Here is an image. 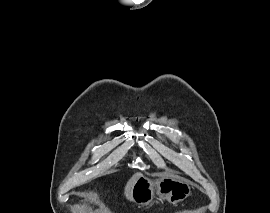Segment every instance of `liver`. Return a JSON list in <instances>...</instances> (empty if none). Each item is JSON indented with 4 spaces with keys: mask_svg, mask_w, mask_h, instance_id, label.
<instances>
[{
    "mask_svg": "<svg viewBox=\"0 0 270 213\" xmlns=\"http://www.w3.org/2000/svg\"><path fill=\"white\" fill-rule=\"evenodd\" d=\"M141 176L140 173H135L127 182L125 189H124V195L125 197L130 200H132V190H133V186L135 184V182L137 181V179Z\"/></svg>",
    "mask_w": 270,
    "mask_h": 213,
    "instance_id": "1",
    "label": "liver"
}]
</instances>
